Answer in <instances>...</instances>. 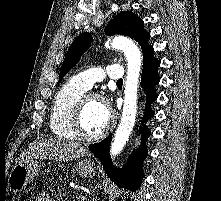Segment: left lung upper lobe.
<instances>
[{"label": "left lung upper lobe", "mask_w": 221, "mask_h": 201, "mask_svg": "<svg viewBox=\"0 0 221 201\" xmlns=\"http://www.w3.org/2000/svg\"><path fill=\"white\" fill-rule=\"evenodd\" d=\"M105 33L107 35L122 34L133 38L139 43L143 51V65L154 58V49L148 43L150 34L144 29V22L131 11L120 12L115 18L109 21ZM92 36L85 32L72 43L66 53L62 69L59 74L61 80L67 72L76 65L81 55L91 45Z\"/></svg>", "instance_id": "5c2ea615"}]
</instances>
